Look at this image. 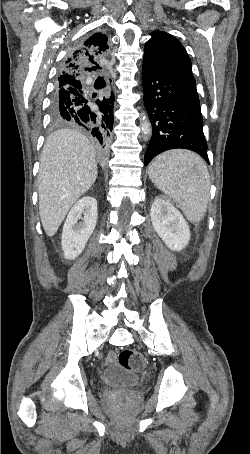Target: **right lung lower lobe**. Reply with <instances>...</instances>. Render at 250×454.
Listing matches in <instances>:
<instances>
[{"mask_svg": "<svg viewBox=\"0 0 250 454\" xmlns=\"http://www.w3.org/2000/svg\"><path fill=\"white\" fill-rule=\"evenodd\" d=\"M57 92L52 100L51 115L63 124H75L87 130L103 147L107 144L113 128V94L110 98L92 101L83 91L70 87ZM91 103L98 105L94 109Z\"/></svg>", "mask_w": 250, "mask_h": 454, "instance_id": "98d812e1", "label": "right lung lower lobe"}]
</instances>
